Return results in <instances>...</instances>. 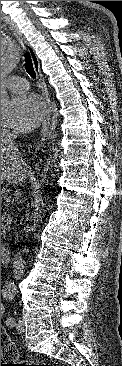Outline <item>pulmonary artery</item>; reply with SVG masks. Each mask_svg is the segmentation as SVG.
<instances>
[{"label": "pulmonary artery", "instance_id": "pulmonary-artery-1", "mask_svg": "<svg viewBox=\"0 0 122 366\" xmlns=\"http://www.w3.org/2000/svg\"><path fill=\"white\" fill-rule=\"evenodd\" d=\"M4 86L11 92L23 93L29 89L28 81L19 76H12L4 82Z\"/></svg>", "mask_w": 122, "mask_h": 366}]
</instances>
